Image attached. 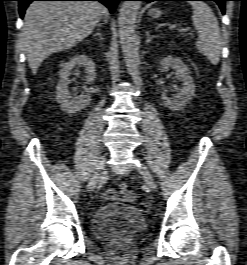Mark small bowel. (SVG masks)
Here are the masks:
<instances>
[{
    "mask_svg": "<svg viewBox=\"0 0 247 265\" xmlns=\"http://www.w3.org/2000/svg\"><path fill=\"white\" fill-rule=\"evenodd\" d=\"M103 197L106 199H116V200L125 201V202H131L137 198L136 193L133 190H129L125 193H121L113 189L106 190L103 193Z\"/></svg>",
    "mask_w": 247,
    "mask_h": 265,
    "instance_id": "1",
    "label": "small bowel"
}]
</instances>
